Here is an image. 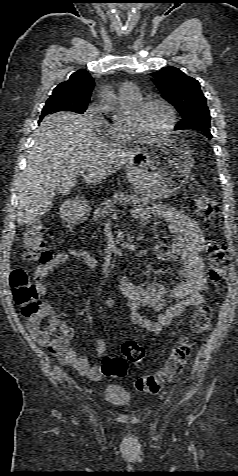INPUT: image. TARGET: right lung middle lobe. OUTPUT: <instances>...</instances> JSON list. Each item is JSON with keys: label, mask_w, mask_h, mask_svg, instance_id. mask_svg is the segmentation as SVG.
Wrapping results in <instances>:
<instances>
[{"label": "right lung middle lobe", "mask_w": 238, "mask_h": 476, "mask_svg": "<svg viewBox=\"0 0 238 476\" xmlns=\"http://www.w3.org/2000/svg\"><path fill=\"white\" fill-rule=\"evenodd\" d=\"M87 105L73 104L68 97L63 95H52L46 102L41 117L57 111H70L82 114Z\"/></svg>", "instance_id": "dd1d6c3e"}]
</instances>
